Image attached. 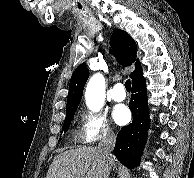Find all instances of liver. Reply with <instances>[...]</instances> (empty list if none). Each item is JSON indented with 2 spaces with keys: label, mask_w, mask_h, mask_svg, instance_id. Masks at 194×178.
<instances>
[{
  "label": "liver",
  "mask_w": 194,
  "mask_h": 178,
  "mask_svg": "<svg viewBox=\"0 0 194 178\" xmlns=\"http://www.w3.org/2000/svg\"><path fill=\"white\" fill-rule=\"evenodd\" d=\"M115 162L112 157V165ZM104 171L105 162L99 149L80 147L55 156L46 178H103Z\"/></svg>",
  "instance_id": "1"
}]
</instances>
